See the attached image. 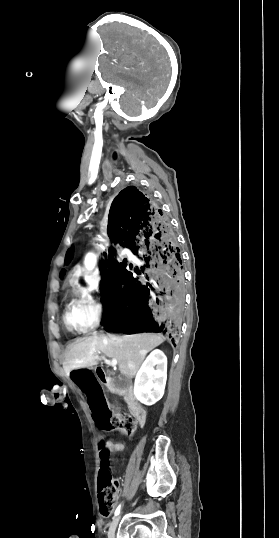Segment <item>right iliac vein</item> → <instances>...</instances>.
I'll return each instance as SVG.
<instances>
[{"label": "right iliac vein", "mask_w": 279, "mask_h": 538, "mask_svg": "<svg viewBox=\"0 0 279 538\" xmlns=\"http://www.w3.org/2000/svg\"><path fill=\"white\" fill-rule=\"evenodd\" d=\"M121 515L116 516L114 520L111 522L109 530H108V538H114L115 537V531L118 526L119 520Z\"/></svg>", "instance_id": "obj_1"}]
</instances>
